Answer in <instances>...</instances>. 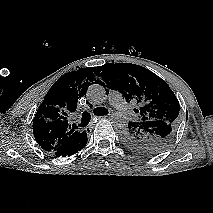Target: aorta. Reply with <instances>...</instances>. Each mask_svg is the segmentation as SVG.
Here are the masks:
<instances>
[{
    "mask_svg": "<svg viewBox=\"0 0 213 213\" xmlns=\"http://www.w3.org/2000/svg\"><path fill=\"white\" fill-rule=\"evenodd\" d=\"M89 100L94 104H101L107 98L106 91L103 86L99 84L91 85L87 90ZM112 123L119 128L126 127V120L120 114L115 113L111 116Z\"/></svg>",
    "mask_w": 213,
    "mask_h": 213,
    "instance_id": "1",
    "label": "aorta"
}]
</instances>
